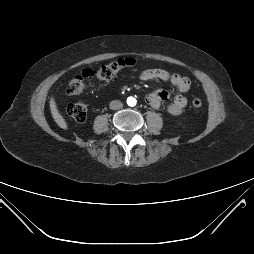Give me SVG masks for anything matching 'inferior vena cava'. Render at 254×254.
<instances>
[{"label":"inferior vena cava","mask_w":254,"mask_h":254,"mask_svg":"<svg viewBox=\"0 0 254 254\" xmlns=\"http://www.w3.org/2000/svg\"><path fill=\"white\" fill-rule=\"evenodd\" d=\"M123 107V103L119 100H113L110 102V109L119 110Z\"/></svg>","instance_id":"602c4592"}]
</instances>
